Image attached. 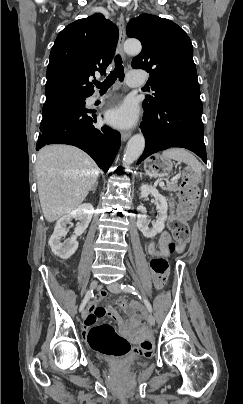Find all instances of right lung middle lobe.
Returning a JSON list of instances; mask_svg holds the SVG:
<instances>
[{
  "label": "right lung middle lobe",
  "mask_w": 243,
  "mask_h": 404,
  "mask_svg": "<svg viewBox=\"0 0 243 404\" xmlns=\"http://www.w3.org/2000/svg\"><path fill=\"white\" fill-rule=\"evenodd\" d=\"M85 99L86 97L83 98H69V99H62L58 100L52 103L44 104L43 106V116L47 115L48 113L62 108L66 106H72V105H85Z\"/></svg>",
  "instance_id": "dd1d6c3e"
}]
</instances>
